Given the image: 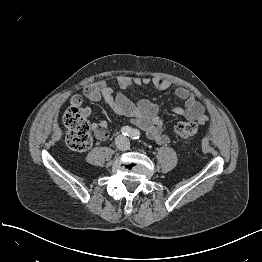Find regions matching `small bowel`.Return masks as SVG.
Instances as JSON below:
<instances>
[{
    "mask_svg": "<svg viewBox=\"0 0 262 262\" xmlns=\"http://www.w3.org/2000/svg\"><path fill=\"white\" fill-rule=\"evenodd\" d=\"M118 83L122 89L154 87L159 91H166L172 86V81L167 78H141L128 75H122ZM174 94L176 98L184 101V105L172 108V114L200 125L209 122L202 103L197 100L191 91L186 88H178ZM83 95L91 103H97L101 100L105 101L119 117L131 119L133 123L145 130L148 137L155 142L159 144L169 142V136L163 132V121L159 116V107L156 103L148 99L132 101L122 92H115L104 81L86 85L83 89ZM71 101L77 104L82 103L80 96H73ZM86 112L88 115L90 114V110ZM91 128L97 139L104 141L108 138V123L106 121L93 122Z\"/></svg>",
    "mask_w": 262,
    "mask_h": 262,
    "instance_id": "small-bowel-1",
    "label": "small bowel"
}]
</instances>
